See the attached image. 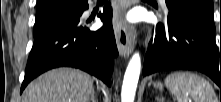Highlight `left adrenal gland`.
Segmentation results:
<instances>
[{
	"instance_id": "obj_1",
	"label": "left adrenal gland",
	"mask_w": 221,
	"mask_h": 102,
	"mask_svg": "<svg viewBox=\"0 0 221 102\" xmlns=\"http://www.w3.org/2000/svg\"><path fill=\"white\" fill-rule=\"evenodd\" d=\"M157 102H163L162 98H156Z\"/></svg>"
}]
</instances>
